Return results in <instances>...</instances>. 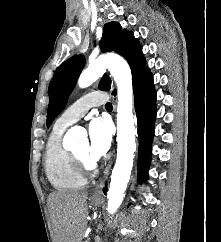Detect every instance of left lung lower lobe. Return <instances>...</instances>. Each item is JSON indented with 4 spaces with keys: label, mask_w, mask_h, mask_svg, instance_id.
<instances>
[{
    "label": "left lung lower lobe",
    "mask_w": 221,
    "mask_h": 242,
    "mask_svg": "<svg viewBox=\"0 0 221 242\" xmlns=\"http://www.w3.org/2000/svg\"><path fill=\"white\" fill-rule=\"evenodd\" d=\"M132 76L134 105L140 138L138 177L139 180H145L150 163L151 143L154 133L153 127L156 117V91L153 85L152 74L146 67L138 70Z\"/></svg>",
    "instance_id": "left-lung-lower-lobe-1"
}]
</instances>
